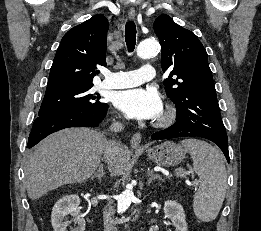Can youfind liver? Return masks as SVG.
Here are the masks:
<instances>
[{
  "instance_id": "1",
  "label": "liver",
  "mask_w": 261,
  "mask_h": 231,
  "mask_svg": "<svg viewBox=\"0 0 261 231\" xmlns=\"http://www.w3.org/2000/svg\"><path fill=\"white\" fill-rule=\"evenodd\" d=\"M107 140L101 132L89 128H68L42 140L25 163L28 197L36 200L48 191L65 184L88 179L99 166ZM128 157L120 145L108 163L114 176L122 175Z\"/></svg>"
}]
</instances>
